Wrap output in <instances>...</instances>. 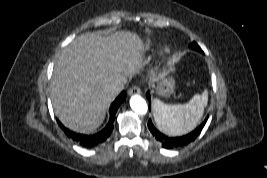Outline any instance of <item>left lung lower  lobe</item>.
<instances>
[{"label": "left lung lower lobe", "mask_w": 267, "mask_h": 178, "mask_svg": "<svg viewBox=\"0 0 267 178\" xmlns=\"http://www.w3.org/2000/svg\"><path fill=\"white\" fill-rule=\"evenodd\" d=\"M147 98L150 100V93L147 92ZM208 117L202 122L194 131L191 133L181 136V137H168L161 132H159L152 124L151 121L148 122V128L152 135L159 141L164 148L172 149L181 146H185L196 139V137L201 133Z\"/></svg>", "instance_id": "obj_1"}]
</instances>
